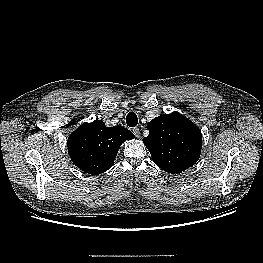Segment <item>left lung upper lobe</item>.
<instances>
[{
	"label": "left lung upper lobe",
	"mask_w": 263,
	"mask_h": 263,
	"mask_svg": "<svg viewBox=\"0 0 263 263\" xmlns=\"http://www.w3.org/2000/svg\"><path fill=\"white\" fill-rule=\"evenodd\" d=\"M143 139L153 161L168 173H181L200 157L202 136L197 126L186 119L161 115L148 125Z\"/></svg>",
	"instance_id": "obj_1"
}]
</instances>
